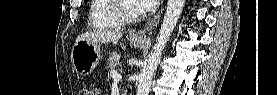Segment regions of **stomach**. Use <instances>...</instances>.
Returning <instances> with one entry per match:
<instances>
[{"instance_id": "stomach-1", "label": "stomach", "mask_w": 277, "mask_h": 95, "mask_svg": "<svg viewBox=\"0 0 277 95\" xmlns=\"http://www.w3.org/2000/svg\"><path fill=\"white\" fill-rule=\"evenodd\" d=\"M130 41L136 47H141L146 43L145 39L130 34ZM101 59L100 45L86 40L77 41L71 51V63L77 75H89L98 65Z\"/></svg>"}]
</instances>
